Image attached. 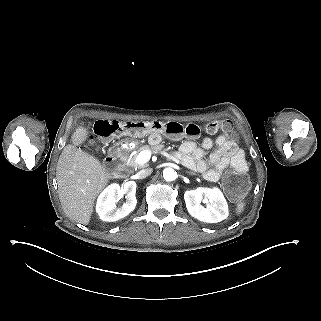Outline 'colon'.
<instances>
[{
  "label": "colon",
  "instance_id": "obj_1",
  "mask_svg": "<svg viewBox=\"0 0 321 321\" xmlns=\"http://www.w3.org/2000/svg\"><path fill=\"white\" fill-rule=\"evenodd\" d=\"M204 130L206 133L215 134L218 132L229 133L232 131V124L226 119H217L208 122ZM147 132H164L172 137L188 136L197 138L201 134L199 126L193 123L182 125L178 122H161L158 120L128 121L120 122L117 120H99L94 124L92 139L106 140L120 135H142ZM250 185L249 177L244 171L234 169L224 175L222 187L226 194L235 200L241 199L247 192Z\"/></svg>",
  "mask_w": 321,
  "mask_h": 321
}]
</instances>
